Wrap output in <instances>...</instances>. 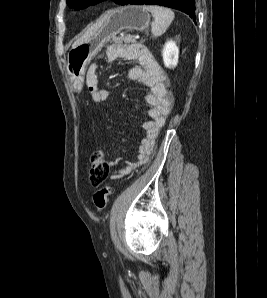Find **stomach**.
Here are the masks:
<instances>
[{
    "mask_svg": "<svg viewBox=\"0 0 267 298\" xmlns=\"http://www.w3.org/2000/svg\"><path fill=\"white\" fill-rule=\"evenodd\" d=\"M102 19L105 21L98 31L68 53L67 73L76 91L83 87L87 66L112 37L121 31L145 30L150 24V14L140 5H128L109 11Z\"/></svg>",
    "mask_w": 267,
    "mask_h": 298,
    "instance_id": "1",
    "label": "stomach"
}]
</instances>
